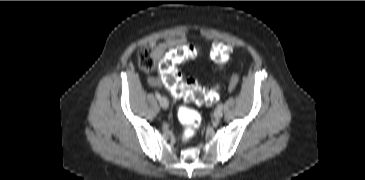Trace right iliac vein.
<instances>
[{
  "label": "right iliac vein",
  "mask_w": 365,
  "mask_h": 180,
  "mask_svg": "<svg viewBox=\"0 0 365 180\" xmlns=\"http://www.w3.org/2000/svg\"><path fill=\"white\" fill-rule=\"evenodd\" d=\"M159 103H160V106L164 109H167L169 107V102H168L167 98H165V97H161L159 99Z\"/></svg>",
  "instance_id": "obj_1"
}]
</instances>
